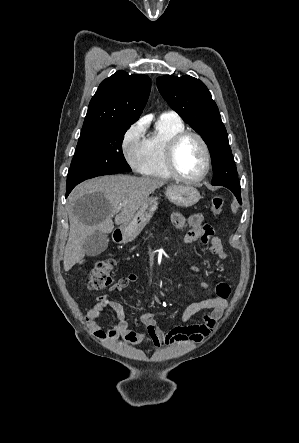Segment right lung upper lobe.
<instances>
[{
	"label": "right lung upper lobe",
	"mask_w": 299,
	"mask_h": 443,
	"mask_svg": "<svg viewBox=\"0 0 299 443\" xmlns=\"http://www.w3.org/2000/svg\"><path fill=\"white\" fill-rule=\"evenodd\" d=\"M150 88L148 76L117 71L99 85L90 101L81 132L134 123L143 111Z\"/></svg>",
	"instance_id": "obj_1"
}]
</instances>
